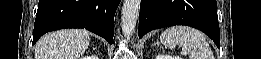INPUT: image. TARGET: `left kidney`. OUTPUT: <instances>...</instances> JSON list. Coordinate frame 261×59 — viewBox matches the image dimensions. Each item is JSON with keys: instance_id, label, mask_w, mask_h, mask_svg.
Listing matches in <instances>:
<instances>
[{"instance_id": "left-kidney-1", "label": "left kidney", "mask_w": 261, "mask_h": 59, "mask_svg": "<svg viewBox=\"0 0 261 59\" xmlns=\"http://www.w3.org/2000/svg\"><path fill=\"white\" fill-rule=\"evenodd\" d=\"M156 59H181V57L171 56V55H165V54H158V55L156 56Z\"/></svg>"}]
</instances>
